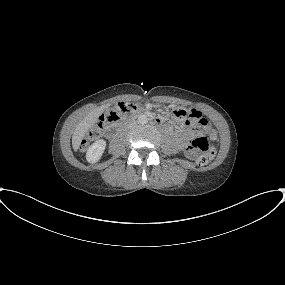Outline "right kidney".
I'll use <instances>...</instances> for the list:
<instances>
[{"instance_id": "1", "label": "right kidney", "mask_w": 285, "mask_h": 285, "mask_svg": "<svg viewBox=\"0 0 285 285\" xmlns=\"http://www.w3.org/2000/svg\"><path fill=\"white\" fill-rule=\"evenodd\" d=\"M106 147V141L101 139L95 141L87 150L86 159L90 163H96L101 158Z\"/></svg>"}]
</instances>
